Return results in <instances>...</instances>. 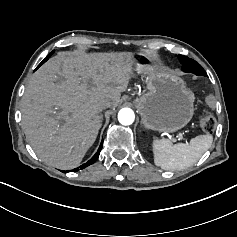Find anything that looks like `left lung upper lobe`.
Returning <instances> with one entry per match:
<instances>
[{"instance_id": "1", "label": "left lung upper lobe", "mask_w": 237, "mask_h": 237, "mask_svg": "<svg viewBox=\"0 0 237 237\" xmlns=\"http://www.w3.org/2000/svg\"><path fill=\"white\" fill-rule=\"evenodd\" d=\"M180 62L182 63V69L184 72L193 73L197 76H207V73L205 70L201 67L199 63H197L195 60L190 59L186 56L179 55Z\"/></svg>"}]
</instances>
